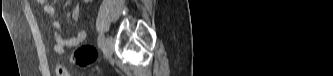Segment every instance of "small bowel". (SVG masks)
<instances>
[{"label":"small bowel","mask_w":333,"mask_h":76,"mask_svg":"<svg viewBox=\"0 0 333 76\" xmlns=\"http://www.w3.org/2000/svg\"><path fill=\"white\" fill-rule=\"evenodd\" d=\"M38 3L42 5L44 12L50 16L53 27V39H54V50L58 54H64L67 50L72 49L81 44L86 39V31L80 29L77 34L69 39H66L62 32L61 23L56 18L55 8L48 4L45 0H38ZM71 19L74 23L80 24L81 12L79 5H75L71 12ZM57 76H67V72L63 66L58 65L56 67Z\"/></svg>","instance_id":"small-bowel-1"}]
</instances>
